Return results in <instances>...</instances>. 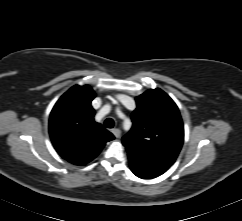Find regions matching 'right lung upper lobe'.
Listing matches in <instances>:
<instances>
[{"label": "right lung upper lobe", "mask_w": 242, "mask_h": 221, "mask_svg": "<svg viewBox=\"0 0 242 221\" xmlns=\"http://www.w3.org/2000/svg\"><path fill=\"white\" fill-rule=\"evenodd\" d=\"M90 86H73L55 104L49 119V133L56 151L75 165L93 160L114 136L94 121Z\"/></svg>", "instance_id": "right-lung-upper-lobe-1"}]
</instances>
